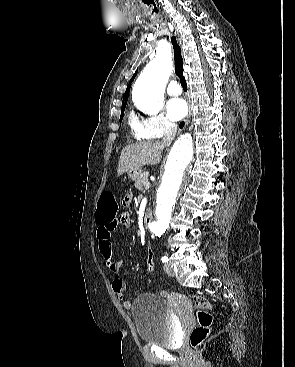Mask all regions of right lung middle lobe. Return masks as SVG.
Listing matches in <instances>:
<instances>
[{"instance_id": "right-lung-middle-lobe-1", "label": "right lung middle lobe", "mask_w": 295, "mask_h": 367, "mask_svg": "<svg viewBox=\"0 0 295 367\" xmlns=\"http://www.w3.org/2000/svg\"><path fill=\"white\" fill-rule=\"evenodd\" d=\"M125 107H126V104H125V105H122L120 122H121V118H122V116H123V113H124Z\"/></svg>"}]
</instances>
